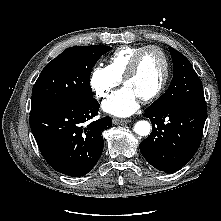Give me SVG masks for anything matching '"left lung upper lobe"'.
<instances>
[{"label": "left lung upper lobe", "instance_id": "obj_1", "mask_svg": "<svg viewBox=\"0 0 221 221\" xmlns=\"http://www.w3.org/2000/svg\"><path fill=\"white\" fill-rule=\"evenodd\" d=\"M169 50L174 66L173 79L167 91L147 109L206 104L202 83L189 60L174 48L169 47Z\"/></svg>", "mask_w": 221, "mask_h": 221}]
</instances>
